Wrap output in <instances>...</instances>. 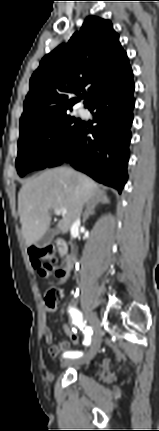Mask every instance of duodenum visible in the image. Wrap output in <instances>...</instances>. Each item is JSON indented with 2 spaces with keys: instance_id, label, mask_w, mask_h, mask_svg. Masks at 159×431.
Listing matches in <instances>:
<instances>
[{
  "instance_id": "1",
  "label": "duodenum",
  "mask_w": 159,
  "mask_h": 431,
  "mask_svg": "<svg viewBox=\"0 0 159 431\" xmlns=\"http://www.w3.org/2000/svg\"><path fill=\"white\" fill-rule=\"evenodd\" d=\"M57 247H58V250L60 251V253H61L62 255H65V256H66V261H69V262H71V264H72V259H71V257L67 254V245H66V243H65L63 240L59 239V240L57 241Z\"/></svg>"
}]
</instances>
